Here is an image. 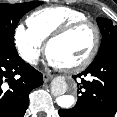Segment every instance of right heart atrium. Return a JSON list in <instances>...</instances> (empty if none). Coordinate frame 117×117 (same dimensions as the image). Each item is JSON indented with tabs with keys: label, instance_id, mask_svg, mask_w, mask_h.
<instances>
[{
	"label": "right heart atrium",
	"instance_id": "obj_1",
	"mask_svg": "<svg viewBox=\"0 0 117 117\" xmlns=\"http://www.w3.org/2000/svg\"><path fill=\"white\" fill-rule=\"evenodd\" d=\"M13 39L21 58L30 65H36L43 54V42L22 24L15 27Z\"/></svg>",
	"mask_w": 117,
	"mask_h": 117
}]
</instances>
